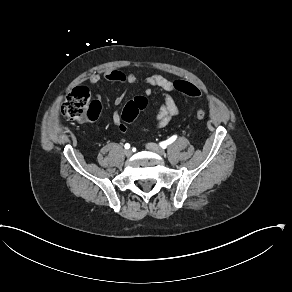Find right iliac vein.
<instances>
[{"label": "right iliac vein", "mask_w": 292, "mask_h": 292, "mask_svg": "<svg viewBox=\"0 0 292 292\" xmlns=\"http://www.w3.org/2000/svg\"><path fill=\"white\" fill-rule=\"evenodd\" d=\"M124 154L127 156V157H130L132 155V151L127 149L124 151Z\"/></svg>", "instance_id": "right-iliac-vein-1"}]
</instances>
